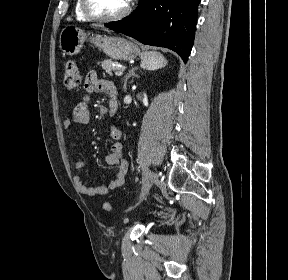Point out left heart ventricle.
<instances>
[{
    "mask_svg": "<svg viewBox=\"0 0 288 280\" xmlns=\"http://www.w3.org/2000/svg\"><path fill=\"white\" fill-rule=\"evenodd\" d=\"M94 9L103 15H114L122 11L127 0H91Z\"/></svg>",
    "mask_w": 288,
    "mask_h": 280,
    "instance_id": "1",
    "label": "left heart ventricle"
}]
</instances>
